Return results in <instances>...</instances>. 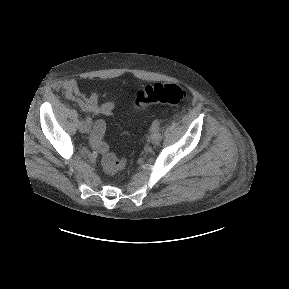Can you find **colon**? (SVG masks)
Returning <instances> with one entry per match:
<instances>
[{"label": "colon", "instance_id": "5ec220e1", "mask_svg": "<svg viewBox=\"0 0 289 289\" xmlns=\"http://www.w3.org/2000/svg\"><path fill=\"white\" fill-rule=\"evenodd\" d=\"M184 97V91L176 84L155 83L136 92L132 99V107L135 110H143L154 104L178 105ZM93 128L92 145L101 155V164L104 171L112 175L122 171L126 166V160L117 157L103 140L106 129L105 121L103 119L97 120Z\"/></svg>", "mask_w": 289, "mask_h": 289}]
</instances>
